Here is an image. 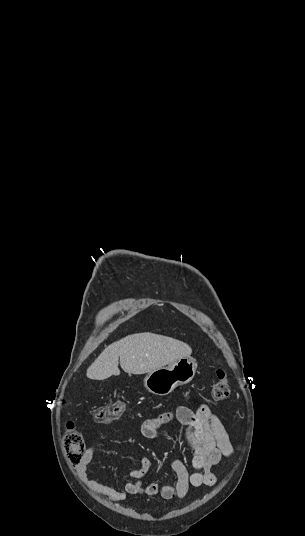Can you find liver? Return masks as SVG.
Instances as JSON below:
<instances>
[{"label":"liver","instance_id":"1","mask_svg":"<svg viewBox=\"0 0 305 536\" xmlns=\"http://www.w3.org/2000/svg\"><path fill=\"white\" fill-rule=\"evenodd\" d=\"M191 354L188 344L174 338L150 332L132 334L107 346L87 368L86 376L90 380H107L110 376H119V362L127 374H149Z\"/></svg>","mask_w":305,"mask_h":536}]
</instances>
